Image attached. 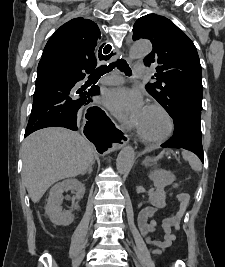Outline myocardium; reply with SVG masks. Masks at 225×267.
Returning a JSON list of instances; mask_svg holds the SVG:
<instances>
[{"instance_id":"f54148a6","label":"myocardium","mask_w":225,"mask_h":267,"mask_svg":"<svg viewBox=\"0 0 225 267\" xmlns=\"http://www.w3.org/2000/svg\"><path fill=\"white\" fill-rule=\"evenodd\" d=\"M147 108L156 109V110L162 112L168 120L169 128H168L167 133L164 136H162L160 138H156V139L148 138L147 136H145L142 133V131L140 129L137 128V133H138L139 137L144 142L151 143V144H160V143L166 142L167 140H169L172 137V135L175 131V122H174L172 115L169 113V111L166 108H164L163 106L156 104V103L148 104Z\"/></svg>"}]
</instances>
